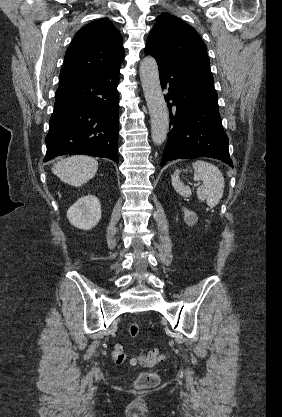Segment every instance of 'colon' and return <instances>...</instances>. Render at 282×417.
<instances>
[{
  "label": "colon",
  "mask_w": 282,
  "mask_h": 417,
  "mask_svg": "<svg viewBox=\"0 0 282 417\" xmlns=\"http://www.w3.org/2000/svg\"><path fill=\"white\" fill-rule=\"evenodd\" d=\"M140 329L141 327L139 324L130 323L128 327L130 337H138L140 335ZM111 357L112 361L116 365L124 364L127 361L125 345L121 342H118L111 352ZM160 360L161 357L159 355V348L153 347L152 351L149 352H146V350H141V355L130 359L129 362L136 367L142 366L152 368V365L156 366ZM158 381L159 375L156 372L142 373L136 379V385L139 388L146 389L156 386Z\"/></svg>",
  "instance_id": "obj_1"
}]
</instances>
